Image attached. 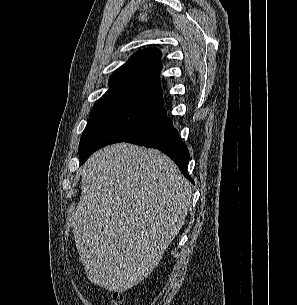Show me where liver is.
I'll return each mask as SVG.
<instances>
[{"instance_id": "liver-1", "label": "liver", "mask_w": 297, "mask_h": 305, "mask_svg": "<svg viewBox=\"0 0 297 305\" xmlns=\"http://www.w3.org/2000/svg\"><path fill=\"white\" fill-rule=\"evenodd\" d=\"M72 227L87 278L125 292L158 265L182 228L192 189L156 149L118 143L96 151L82 170Z\"/></svg>"}]
</instances>
